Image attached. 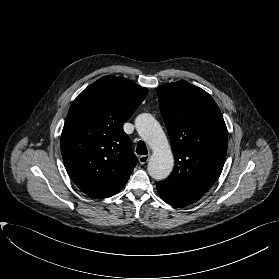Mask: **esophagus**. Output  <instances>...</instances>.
I'll list each match as a JSON object with an SVG mask.
<instances>
[{
  "label": "esophagus",
  "mask_w": 279,
  "mask_h": 279,
  "mask_svg": "<svg viewBox=\"0 0 279 279\" xmlns=\"http://www.w3.org/2000/svg\"><path fill=\"white\" fill-rule=\"evenodd\" d=\"M150 159V155H142L139 157L140 164H146Z\"/></svg>",
  "instance_id": "34e87169"
}]
</instances>
